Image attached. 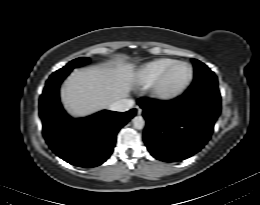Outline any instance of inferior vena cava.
Returning <instances> with one entry per match:
<instances>
[{
  "mask_svg": "<svg viewBox=\"0 0 260 205\" xmlns=\"http://www.w3.org/2000/svg\"><path fill=\"white\" fill-rule=\"evenodd\" d=\"M134 105V100L132 99H120L114 103H112L109 106V109L112 111H119V112H123V111H128L129 109H131Z\"/></svg>",
  "mask_w": 260,
  "mask_h": 205,
  "instance_id": "obj_1",
  "label": "inferior vena cava"
}]
</instances>
